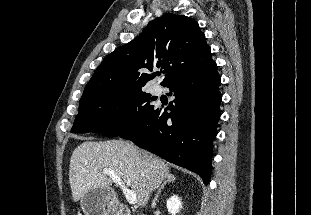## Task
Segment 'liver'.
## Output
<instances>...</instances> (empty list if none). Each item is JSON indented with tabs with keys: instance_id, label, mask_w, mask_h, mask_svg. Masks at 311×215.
Instances as JSON below:
<instances>
[{
	"instance_id": "1",
	"label": "liver",
	"mask_w": 311,
	"mask_h": 215,
	"mask_svg": "<svg viewBox=\"0 0 311 215\" xmlns=\"http://www.w3.org/2000/svg\"><path fill=\"white\" fill-rule=\"evenodd\" d=\"M104 169L113 171L131 187L140 207L146 206L151 193L170 175L162 159L129 142L87 140L75 148L70 159L69 182L75 202L90 189H111L112 179L103 173Z\"/></svg>"
}]
</instances>
